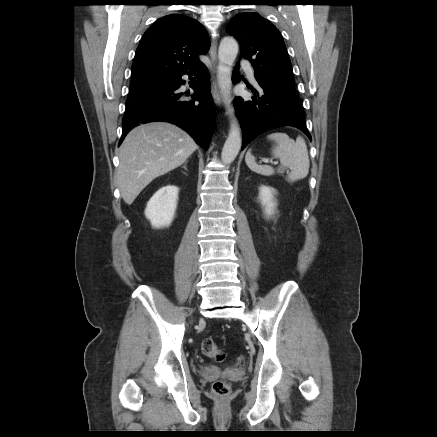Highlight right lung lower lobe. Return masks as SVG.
I'll return each instance as SVG.
<instances>
[{"label": "right lung lower lobe", "mask_w": 437, "mask_h": 437, "mask_svg": "<svg viewBox=\"0 0 437 437\" xmlns=\"http://www.w3.org/2000/svg\"><path fill=\"white\" fill-rule=\"evenodd\" d=\"M189 75L194 93L180 91L185 84L183 75ZM216 112L210 92V80L206 66L201 62L170 78L167 84L155 90L130 96L126 101L123 132L119 142L140 123L166 121L184 129L205 150L208 149Z\"/></svg>", "instance_id": "98d812e1"}]
</instances>
